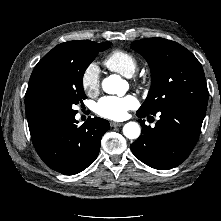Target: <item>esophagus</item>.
Instances as JSON below:
<instances>
[{
	"instance_id": "esophagus-1",
	"label": "esophagus",
	"mask_w": 221,
	"mask_h": 221,
	"mask_svg": "<svg viewBox=\"0 0 221 221\" xmlns=\"http://www.w3.org/2000/svg\"><path fill=\"white\" fill-rule=\"evenodd\" d=\"M110 125H111V127H120L123 125V123L122 122H111Z\"/></svg>"
}]
</instances>
